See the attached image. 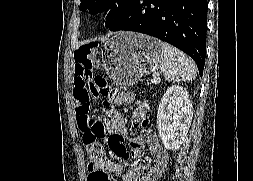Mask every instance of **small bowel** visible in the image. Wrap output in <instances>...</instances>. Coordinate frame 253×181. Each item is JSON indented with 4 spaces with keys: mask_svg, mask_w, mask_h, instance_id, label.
Wrapping results in <instances>:
<instances>
[{
    "mask_svg": "<svg viewBox=\"0 0 253 181\" xmlns=\"http://www.w3.org/2000/svg\"><path fill=\"white\" fill-rule=\"evenodd\" d=\"M90 71L83 65L76 64L73 77V98L75 102V114L78 115L80 100L87 89V81ZM134 104V119L136 126L142 128L139 136L130 140L131 149L128 151L123 145V140L127 137V119L121 111L115 110L110 122L109 147L115 157L105 159L98 167L87 165L88 181H112L109 173L119 176L121 181H154L168 167L169 154L160 145L156 135H154L146 118H144L145 105L141 101H134V95L130 92L122 93L117 104ZM144 147H147L151 157L143 163L130 169H125L122 162L128 157L136 158L141 155Z\"/></svg>",
    "mask_w": 253,
    "mask_h": 181,
    "instance_id": "c3829d8e",
    "label": "small bowel"
}]
</instances>
